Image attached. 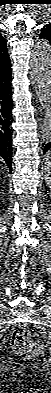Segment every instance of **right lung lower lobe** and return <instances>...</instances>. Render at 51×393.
I'll return each mask as SVG.
<instances>
[{
    "label": "right lung lower lobe",
    "mask_w": 51,
    "mask_h": 393,
    "mask_svg": "<svg viewBox=\"0 0 51 393\" xmlns=\"http://www.w3.org/2000/svg\"><path fill=\"white\" fill-rule=\"evenodd\" d=\"M13 100L11 69L0 75V156L12 171V116Z\"/></svg>",
    "instance_id": "98d812e1"
}]
</instances>
